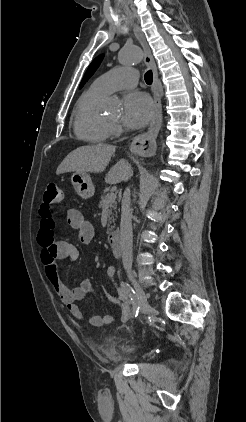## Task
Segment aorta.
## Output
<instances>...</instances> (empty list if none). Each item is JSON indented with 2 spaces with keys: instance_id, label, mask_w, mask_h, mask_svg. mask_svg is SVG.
Here are the masks:
<instances>
[{
  "instance_id": "aorta-1",
  "label": "aorta",
  "mask_w": 246,
  "mask_h": 422,
  "mask_svg": "<svg viewBox=\"0 0 246 422\" xmlns=\"http://www.w3.org/2000/svg\"><path fill=\"white\" fill-rule=\"evenodd\" d=\"M142 50L138 46L125 47L119 52V61L122 64H137L142 60Z\"/></svg>"
}]
</instances>
